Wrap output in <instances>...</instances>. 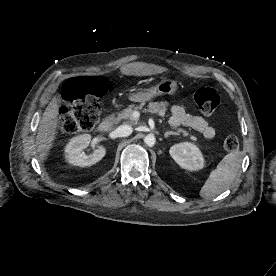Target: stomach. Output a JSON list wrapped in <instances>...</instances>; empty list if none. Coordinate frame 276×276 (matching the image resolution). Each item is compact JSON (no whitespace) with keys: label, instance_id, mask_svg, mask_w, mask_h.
Segmentation results:
<instances>
[{"label":"stomach","instance_id":"0dacf381","mask_svg":"<svg viewBox=\"0 0 276 276\" xmlns=\"http://www.w3.org/2000/svg\"><path fill=\"white\" fill-rule=\"evenodd\" d=\"M177 90L178 85L175 80L163 79L160 83L146 91L131 94L129 100L133 102H146L158 96L173 95Z\"/></svg>","mask_w":276,"mask_h":276}]
</instances>
